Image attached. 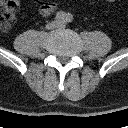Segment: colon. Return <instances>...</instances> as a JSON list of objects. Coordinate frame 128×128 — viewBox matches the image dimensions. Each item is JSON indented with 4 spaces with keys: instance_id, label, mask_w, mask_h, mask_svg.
<instances>
[{
    "instance_id": "colon-1",
    "label": "colon",
    "mask_w": 128,
    "mask_h": 128,
    "mask_svg": "<svg viewBox=\"0 0 128 128\" xmlns=\"http://www.w3.org/2000/svg\"><path fill=\"white\" fill-rule=\"evenodd\" d=\"M114 2L115 0H106ZM18 0H0V30H8L14 24Z\"/></svg>"
}]
</instances>
